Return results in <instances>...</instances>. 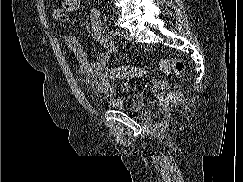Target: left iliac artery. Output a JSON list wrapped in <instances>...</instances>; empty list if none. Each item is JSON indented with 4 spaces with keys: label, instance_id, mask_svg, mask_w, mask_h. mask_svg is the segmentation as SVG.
<instances>
[{
    "label": "left iliac artery",
    "instance_id": "left-iliac-artery-1",
    "mask_svg": "<svg viewBox=\"0 0 243 182\" xmlns=\"http://www.w3.org/2000/svg\"><path fill=\"white\" fill-rule=\"evenodd\" d=\"M115 35L118 36V37H121V36H123V33L119 29H116Z\"/></svg>",
    "mask_w": 243,
    "mask_h": 182
}]
</instances>
